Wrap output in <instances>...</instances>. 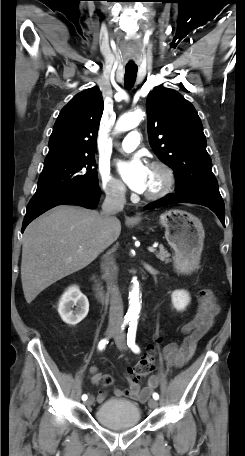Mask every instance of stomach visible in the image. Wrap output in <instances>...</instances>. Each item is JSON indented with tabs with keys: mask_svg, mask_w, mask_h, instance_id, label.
Instances as JSON below:
<instances>
[{
	"mask_svg": "<svg viewBox=\"0 0 245 456\" xmlns=\"http://www.w3.org/2000/svg\"><path fill=\"white\" fill-rule=\"evenodd\" d=\"M159 223L165 228V238L174 250L175 268L182 273L194 271L199 265L205 238L201 220L174 209L161 214Z\"/></svg>",
	"mask_w": 245,
	"mask_h": 456,
	"instance_id": "1",
	"label": "stomach"
}]
</instances>
